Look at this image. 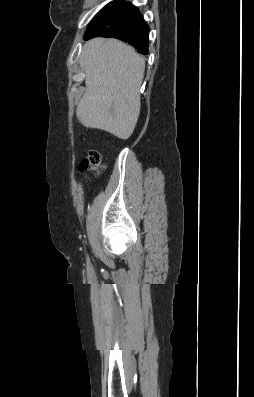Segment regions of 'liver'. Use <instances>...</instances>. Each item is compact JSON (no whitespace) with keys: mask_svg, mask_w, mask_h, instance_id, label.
Instances as JSON below:
<instances>
[{"mask_svg":"<svg viewBox=\"0 0 254 397\" xmlns=\"http://www.w3.org/2000/svg\"><path fill=\"white\" fill-rule=\"evenodd\" d=\"M79 62L86 85L77 107L79 121L128 139L140 114L145 58L122 41L94 38L85 43Z\"/></svg>","mask_w":254,"mask_h":397,"instance_id":"6515ba94","label":"liver"}]
</instances>
